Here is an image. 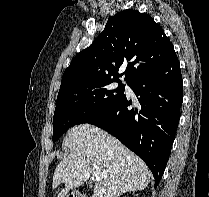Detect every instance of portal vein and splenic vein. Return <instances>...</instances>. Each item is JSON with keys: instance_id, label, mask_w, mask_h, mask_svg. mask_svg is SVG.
<instances>
[{"instance_id": "obj_1", "label": "portal vein and splenic vein", "mask_w": 209, "mask_h": 197, "mask_svg": "<svg viewBox=\"0 0 209 197\" xmlns=\"http://www.w3.org/2000/svg\"><path fill=\"white\" fill-rule=\"evenodd\" d=\"M92 174L97 179H100L103 177V175L101 174V172L97 168L92 169Z\"/></svg>"}]
</instances>
